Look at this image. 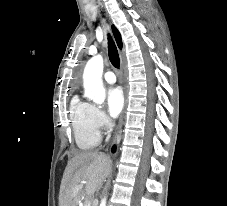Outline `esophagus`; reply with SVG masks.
Here are the masks:
<instances>
[{
  "instance_id": "34e87169",
  "label": "esophagus",
  "mask_w": 227,
  "mask_h": 206,
  "mask_svg": "<svg viewBox=\"0 0 227 206\" xmlns=\"http://www.w3.org/2000/svg\"><path fill=\"white\" fill-rule=\"evenodd\" d=\"M123 70H124V63H123V61H121L120 73H121L122 81L124 82ZM126 106H127V91H126V88L124 86V108H123V111H122L121 116H120L118 128H117V131H116V134H115V137H114V142L120 141L122 126H123V123H124V115H125Z\"/></svg>"
}]
</instances>
